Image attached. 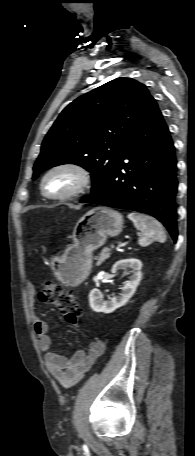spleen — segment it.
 Returning a JSON list of instances; mask_svg holds the SVG:
<instances>
[{
    "label": "spleen",
    "mask_w": 195,
    "mask_h": 456,
    "mask_svg": "<svg viewBox=\"0 0 195 456\" xmlns=\"http://www.w3.org/2000/svg\"><path fill=\"white\" fill-rule=\"evenodd\" d=\"M128 218L134 223V226L141 231V236L138 240L139 245L145 247L154 240L160 242L166 240L163 227L155 218L135 212L129 213Z\"/></svg>",
    "instance_id": "obj_1"
}]
</instances>
